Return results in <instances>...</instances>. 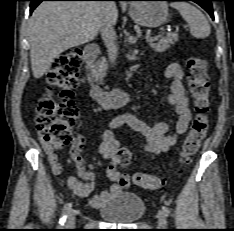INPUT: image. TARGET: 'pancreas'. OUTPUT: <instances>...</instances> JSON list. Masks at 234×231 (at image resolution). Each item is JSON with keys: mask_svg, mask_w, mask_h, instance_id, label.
<instances>
[{"mask_svg": "<svg viewBox=\"0 0 234 231\" xmlns=\"http://www.w3.org/2000/svg\"><path fill=\"white\" fill-rule=\"evenodd\" d=\"M178 41L177 33H168L165 37H161L158 43L151 45V47L157 52H163L170 47V45L174 44ZM107 63L104 58H101L97 61L95 65V73L103 78L107 71Z\"/></svg>", "mask_w": 234, "mask_h": 231, "instance_id": "obj_1", "label": "pancreas"}]
</instances>
